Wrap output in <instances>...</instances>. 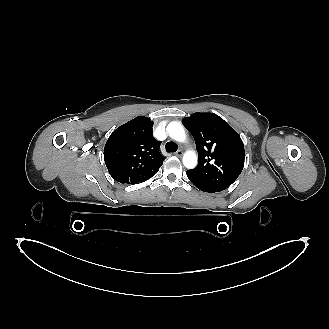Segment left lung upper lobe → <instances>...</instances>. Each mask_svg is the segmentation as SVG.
I'll return each instance as SVG.
<instances>
[{
  "label": "left lung upper lobe",
  "mask_w": 329,
  "mask_h": 329,
  "mask_svg": "<svg viewBox=\"0 0 329 329\" xmlns=\"http://www.w3.org/2000/svg\"><path fill=\"white\" fill-rule=\"evenodd\" d=\"M193 134L198 165L188 170L197 180L225 190L242 172L245 159L243 142L226 121L214 113H194L183 119Z\"/></svg>",
  "instance_id": "left-lung-upper-lobe-1"
}]
</instances>
